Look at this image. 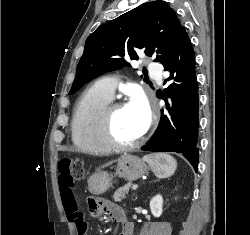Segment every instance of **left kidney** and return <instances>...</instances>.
<instances>
[{"mask_svg": "<svg viewBox=\"0 0 250 235\" xmlns=\"http://www.w3.org/2000/svg\"><path fill=\"white\" fill-rule=\"evenodd\" d=\"M163 198L161 195H156L150 201V209L154 217H160L163 212Z\"/></svg>", "mask_w": 250, "mask_h": 235, "instance_id": "obj_1", "label": "left kidney"}]
</instances>
